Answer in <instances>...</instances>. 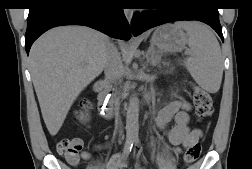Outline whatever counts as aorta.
<instances>
[{
    "mask_svg": "<svg viewBox=\"0 0 252 169\" xmlns=\"http://www.w3.org/2000/svg\"><path fill=\"white\" fill-rule=\"evenodd\" d=\"M139 134V99L137 94H132L126 112V138L128 141L138 139Z\"/></svg>",
    "mask_w": 252,
    "mask_h": 169,
    "instance_id": "1",
    "label": "aorta"
}]
</instances>
